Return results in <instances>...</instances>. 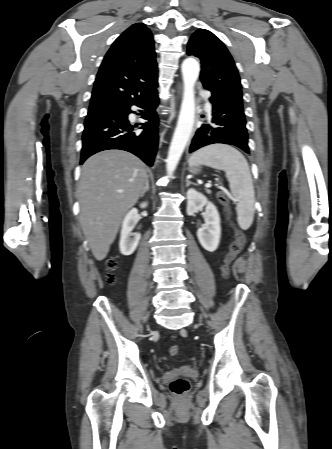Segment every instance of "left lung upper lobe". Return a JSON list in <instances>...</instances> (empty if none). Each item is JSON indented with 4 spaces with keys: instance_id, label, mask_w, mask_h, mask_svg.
<instances>
[{
    "instance_id": "obj_1",
    "label": "left lung upper lobe",
    "mask_w": 332,
    "mask_h": 449,
    "mask_svg": "<svg viewBox=\"0 0 332 449\" xmlns=\"http://www.w3.org/2000/svg\"><path fill=\"white\" fill-rule=\"evenodd\" d=\"M187 53L200 58V79L212 95L243 106L240 78L233 58L213 33L197 30L188 42Z\"/></svg>"
}]
</instances>
